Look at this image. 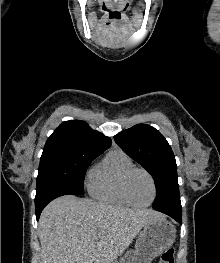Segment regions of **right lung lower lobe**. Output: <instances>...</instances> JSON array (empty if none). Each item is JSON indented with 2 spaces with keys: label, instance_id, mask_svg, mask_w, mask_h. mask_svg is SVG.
Returning a JSON list of instances; mask_svg holds the SVG:
<instances>
[{
  "label": "right lung lower lobe",
  "instance_id": "right-lung-lower-lobe-1",
  "mask_svg": "<svg viewBox=\"0 0 220 263\" xmlns=\"http://www.w3.org/2000/svg\"><path fill=\"white\" fill-rule=\"evenodd\" d=\"M66 194H68V193H66V192H52V193H49V194L41 197L40 199H35L36 217H37V220L39 219V216H40L43 208H44L50 201H52L53 199H55V198H57V197L66 195Z\"/></svg>",
  "mask_w": 220,
  "mask_h": 263
}]
</instances>
